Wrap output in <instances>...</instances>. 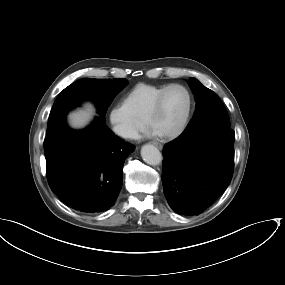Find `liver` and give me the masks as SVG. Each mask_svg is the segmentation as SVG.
<instances>
[{
  "label": "liver",
  "mask_w": 285,
  "mask_h": 285,
  "mask_svg": "<svg viewBox=\"0 0 285 285\" xmlns=\"http://www.w3.org/2000/svg\"><path fill=\"white\" fill-rule=\"evenodd\" d=\"M94 109L87 105L85 109L78 110L69 115V123L73 128H83L92 119Z\"/></svg>",
  "instance_id": "6515ba94"
}]
</instances>
